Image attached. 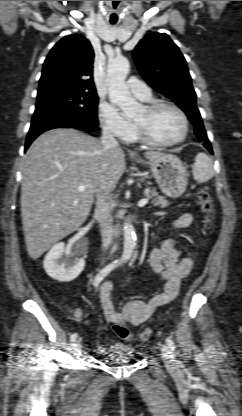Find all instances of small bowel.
Listing matches in <instances>:
<instances>
[{
    "instance_id": "obj_1",
    "label": "small bowel",
    "mask_w": 242,
    "mask_h": 416,
    "mask_svg": "<svg viewBox=\"0 0 242 416\" xmlns=\"http://www.w3.org/2000/svg\"><path fill=\"white\" fill-rule=\"evenodd\" d=\"M192 220V214L185 213L174 221L173 229L188 228ZM174 241L173 237L168 238L160 247L153 249L149 255V264L152 270L165 281V287L161 293L154 295L149 300L128 301L120 311H117L112 298L113 283L107 280L100 286L101 305L108 323L121 322L140 326L151 317L156 308L176 298L180 282L190 273L193 260L190 253H186L182 259H179L173 247ZM73 320L76 322L84 320V310L82 308L74 310ZM121 345V343H116L109 348L99 346L97 352L100 355H106L116 351Z\"/></svg>"
}]
</instances>
